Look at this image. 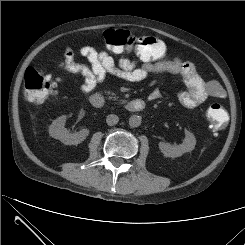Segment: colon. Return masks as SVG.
<instances>
[{"instance_id":"colon-1","label":"colon","mask_w":245,"mask_h":245,"mask_svg":"<svg viewBox=\"0 0 245 245\" xmlns=\"http://www.w3.org/2000/svg\"><path fill=\"white\" fill-rule=\"evenodd\" d=\"M105 44L116 52H134L143 62L161 61L166 53L164 43L152 36L134 35L126 29H111L104 33ZM26 97L37 104L45 103L57 86V80L48 73L34 67L27 68L24 75ZM209 127L213 133L224 129L228 114L220 103H212L206 112Z\"/></svg>"}]
</instances>
